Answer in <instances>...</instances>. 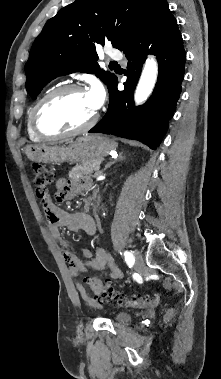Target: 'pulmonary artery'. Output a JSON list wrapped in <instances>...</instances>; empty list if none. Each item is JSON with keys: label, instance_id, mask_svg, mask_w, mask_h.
Returning <instances> with one entry per match:
<instances>
[{"label": "pulmonary artery", "instance_id": "e3ab8cb5", "mask_svg": "<svg viewBox=\"0 0 221 379\" xmlns=\"http://www.w3.org/2000/svg\"><path fill=\"white\" fill-rule=\"evenodd\" d=\"M107 55L110 59H114V60H120L123 57L121 52L117 50H110L108 51Z\"/></svg>", "mask_w": 221, "mask_h": 379}]
</instances>
